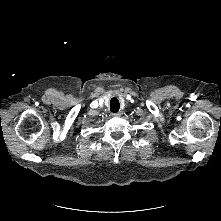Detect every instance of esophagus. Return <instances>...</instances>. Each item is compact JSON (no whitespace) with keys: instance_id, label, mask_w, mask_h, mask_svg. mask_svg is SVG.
<instances>
[{"instance_id":"obj_1","label":"esophagus","mask_w":221,"mask_h":221,"mask_svg":"<svg viewBox=\"0 0 221 221\" xmlns=\"http://www.w3.org/2000/svg\"><path fill=\"white\" fill-rule=\"evenodd\" d=\"M112 116H114V117H119V116H121V112L112 113Z\"/></svg>"}]
</instances>
